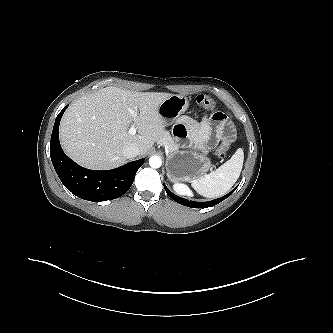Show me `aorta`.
Returning <instances> with one entry per match:
<instances>
[{
	"label": "aorta",
	"mask_w": 333,
	"mask_h": 333,
	"mask_svg": "<svg viewBox=\"0 0 333 333\" xmlns=\"http://www.w3.org/2000/svg\"><path fill=\"white\" fill-rule=\"evenodd\" d=\"M162 164L161 158L159 156H152L149 159V165L152 168H159Z\"/></svg>",
	"instance_id": "obj_1"
}]
</instances>
